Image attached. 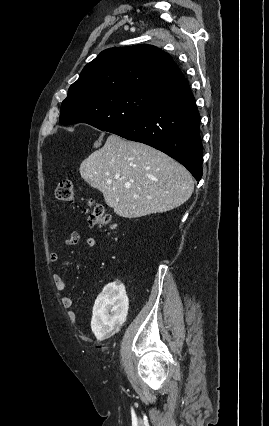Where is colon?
I'll use <instances>...</instances> for the list:
<instances>
[{"label":"colon","mask_w":269,"mask_h":426,"mask_svg":"<svg viewBox=\"0 0 269 426\" xmlns=\"http://www.w3.org/2000/svg\"><path fill=\"white\" fill-rule=\"evenodd\" d=\"M56 198L63 202H74L76 195L72 181L61 180L56 188ZM88 222L91 225L113 229L114 223L111 216L106 213L101 204L96 203L94 200H89L88 207L85 209Z\"/></svg>","instance_id":"colon-1"}]
</instances>
